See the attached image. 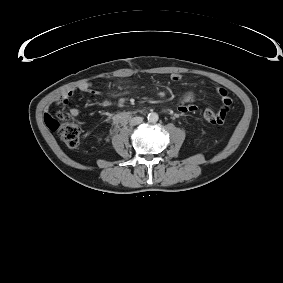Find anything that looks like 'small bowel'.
I'll list each match as a JSON object with an SVG mask.
<instances>
[{
	"label": "small bowel",
	"instance_id": "c3829d8e",
	"mask_svg": "<svg viewBox=\"0 0 283 283\" xmlns=\"http://www.w3.org/2000/svg\"><path fill=\"white\" fill-rule=\"evenodd\" d=\"M182 76L180 74H172L170 76V79L172 82L177 83L181 80ZM78 91L81 92H86V93H94L92 84L89 82H83L81 83L78 87H77ZM217 95L220 97L221 99V109H224L225 107H230L231 106V100L228 96V92L226 89L224 88H218L216 90ZM74 95V91H69L66 95H65V99H69ZM197 101V95L193 92H187L184 93L182 95V98L179 102V105L177 107V110L180 114H192V113H196L198 111V107L195 105ZM227 101L230 103L229 105H227ZM80 114L79 109L73 107L69 110V115L72 118H76L78 117Z\"/></svg>",
	"mask_w": 283,
	"mask_h": 283
}]
</instances>
